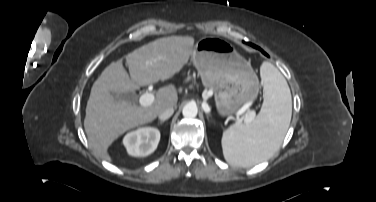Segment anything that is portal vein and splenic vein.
Instances as JSON below:
<instances>
[{
	"instance_id": "portal-vein-and-splenic-vein-1",
	"label": "portal vein and splenic vein",
	"mask_w": 376,
	"mask_h": 202,
	"mask_svg": "<svg viewBox=\"0 0 376 202\" xmlns=\"http://www.w3.org/2000/svg\"><path fill=\"white\" fill-rule=\"evenodd\" d=\"M154 100H155L154 95L152 93H148V92L144 93L140 97V103H141L142 106H149V105H151L154 102ZM244 111H245V109H243V112ZM244 121L246 123L251 122V117L248 116V115H245L244 116Z\"/></svg>"
}]
</instances>
